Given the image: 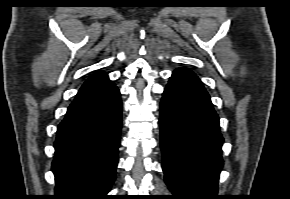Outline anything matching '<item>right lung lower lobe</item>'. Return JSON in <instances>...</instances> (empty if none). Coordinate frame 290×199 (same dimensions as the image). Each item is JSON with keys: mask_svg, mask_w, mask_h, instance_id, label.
I'll return each instance as SVG.
<instances>
[{"mask_svg": "<svg viewBox=\"0 0 290 199\" xmlns=\"http://www.w3.org/2000/svg\"><path fill=\"white\" fill-rule=\"evenodd\" d=\"M121 123L120 92L112 81L77 93L54 143L53 199H108L118 163Z\"/></svg>", "mask_w": 290, "mask_h": 199, "instance_id": "right-lung-lower-lobe-1", "label": "right lung lower lobe"}]
</instances>
